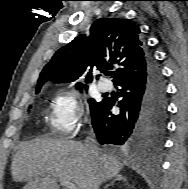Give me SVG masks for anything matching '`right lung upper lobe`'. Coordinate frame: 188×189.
Wrapping results in <instances>:
<instances>
[{
  "instance_id": "1",
  "label": "right lung upper lobe",
  "mask_w": 188,
  "mask_h": 189,
  "mask_svg": "<svg viewBox=\"0 0 188 189\" xmlns=\"http://www.w3.org/2000/svg\"><path fill=\"white\" fill-rule=\"evenodd\" d=\"M149 54L141 41L139 27L125 19L100 18L91 26L87 38L82 34L54 54L40 74L36 92L48 80L57 83L72 82L88 66L90 70L87 82L93 79L92 69L107 73V70L117 67L113 76L116 85L143 73ZM76 86L81 88L82 83L78 82Z\"/></svg>"
}]
</instances>
